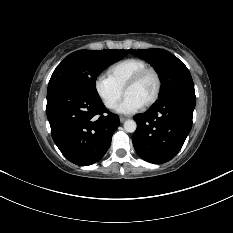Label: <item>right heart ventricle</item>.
<instances>
[{
	"instance_id": "right-heart-ventricle-1",
	"label": "right heart ventricle",
	"mask_w": 233,
	"mask_h": 233,
	"mask_svg": "<svg viewBox=\"0 0 233 233\" xmlns=\"http://www.w3.org/2000/svg\"><path fill=\"white\" fill-rule=\"evenodd\" d=\"M146 67H148V63L142 59L127 58L110 66L107 74L108 77L123 90L129 79Z\"/></svg>"
}]
</instances>
